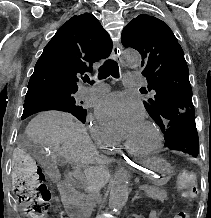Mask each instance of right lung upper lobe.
<instances>
[{
  "label": "right lung upper lobe",
  "instance_id": "obj_1",
  "mask_svg": "<svg viewBox=\"0 0 211 218\" xmlns=\"http://www.w3.org/2000/svg\"><path fill=\"white\" fill-rule=\"evenodd\" d=\"M112 41L99 21L84 13L70 18L56 32L38 59L25 102L77 91V76L110 55Z\"/></svg>",
  "mask_w": 211,
  "mask_h": 218
}]
</instances>
